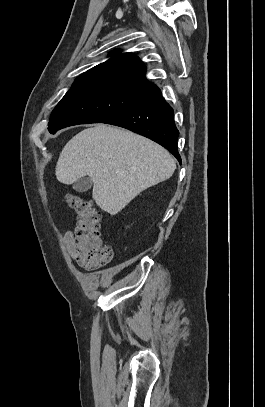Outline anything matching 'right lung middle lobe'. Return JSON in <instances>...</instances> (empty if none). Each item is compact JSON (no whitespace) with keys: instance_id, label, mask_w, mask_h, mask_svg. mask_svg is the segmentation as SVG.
Returning a JSON list of instances; mask_svg holds the SVG:
<instances>
[{"instance_id":"right-lung-middle-lobe-1","label":"right lung middle lobe","mask_w":265,"mask_h":407,"mask_svg":"<svg viewBox=\"0 0 265 407\" xmlns=\"http://www.w3.org/2000/svg\"><path fill=\"white\" fill-rule=\"evenodd\" d=\"M156 87L105 76H79L52 113L49 132L67 126L99 123L141 103Z\"/></svg>"}]
</instances>
